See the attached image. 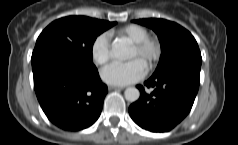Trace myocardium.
<instances>
[{"mask_svg":"<svg viewBox=\"0 0 238 145\" xmlns=\"http://www.w3.org/2000/svg\"><path fill=\"white\" fill-rule=\"evenodd\" d=\"M132 48L135 50L138 56L144 58V65L147 69L153 67L161 54L160 42L153 37H146L141 41L132 44Z\"/></svg>","mask_w":238,"mask_h":145,"instance_id":"obj_1","label":"myocardium"}]
</instances>
